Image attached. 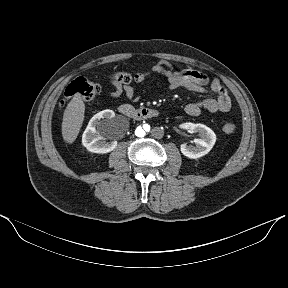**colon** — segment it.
<instances>
[{"instance_id": "1", "label": "colon", "mask_w": 288, "mask_h": 288, "mask_svg": "<svg viewBox=\"0 0 288 288\" xmlns=\"http://www.w3.org/2000/svg\"><path fill=\"white\" fill-rule=\"evenodd\" d=\"M112 79L120 84H130L131 82H138L143 79V75L140 73L136 74H131L129 72H117L113 74ZM100 91V87L98 84L83 78L79 77L74 79L66 88L65 94H64V100L62 103L65 101L69 100L72 97L78 96L82 98L85 101L92 100ZM223 131L226 134H232L235 132L236 126L235 124L230 121L226 120L223 123Z\"/></svg>"}]
</instances>
